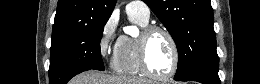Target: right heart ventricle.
Segmentation results:
<instances>
[{
    "mask_svg": "<svg viewBox=\"0 0 260 84\" xmlns=\"http://www.w3.org/2000/svg\"><path fill=\"white\" fill-rule=\"evenodd\" d=\"M131 21L140 27H145L148 21H144L136 15H129ZM138 38L129 35H121L118 40V48L113 59V70L122 75L138 76L143 72L140 68L137 48Z\"/></svg>",
    "mask_w": 260,
    "mask_h": 84,
    "instance_id": "obj_1",
    "label": "right heart ventricle"
}]
</instances>
